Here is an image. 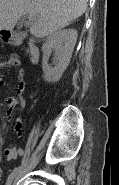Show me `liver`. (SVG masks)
I'll return each instance as SVG.
<instances>
[{"instance_id": "liver-1", "label": "liver", "mask_w": 119, "mask_h": 185, "mask_svg": "<svg viewBox=\"0 0 119 185\" xmlns=\"http://www.w3.org/2000/svg\"><path fill=\"white\" fill-rule=\"evenodd\" d=\"M87 0H0V31H12L24 14H32V35L44 38L81 17Z\"/></svg>"}]
</instances>
